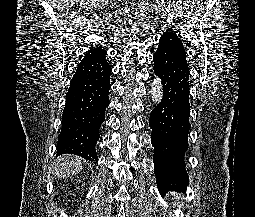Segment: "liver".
Instances as JSON below:
<instances>
[{
	"label": "liver",
	"mask_w": 255,
	"mask_h": 217,
	"mask_svg": "<svg viewBox=\"0 0 255 217\" xmlns=\"http://www.w3.org/2000/svg\"><path fill=\"white\" fill-rule=\"evenodd\" d=\"M82 170V159L77 156L64 155L56 159L54 174L59 178L75 175Z\"/></svg>",
	"instance_id": "liver-1"
}]
</instances>
